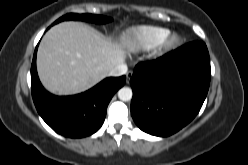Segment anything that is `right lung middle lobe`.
<instances>
[{
  "label": "right lung middle lobe",
  "mask_w": 248,
  "mask_h": 165,
  "mask_svg": "<svg viewBox=\"0 0 248 165\" xmlns=\"http://www.w3.org/2000/svg\"><path fill=\"white\" fill-rule=\"evenodd\" d=\"M64 20H82V21H89L94 23H107L112 21V18L101 16V15H93V14H74L70 13L54 22V24L64 21Z\"/></svg>",
  "instance_id": "dd1d6c3e"
}]
</instances>
